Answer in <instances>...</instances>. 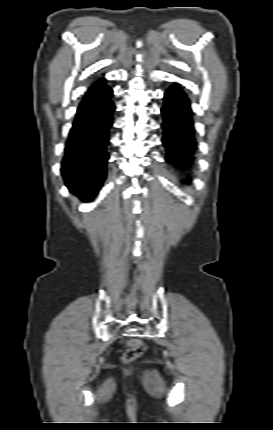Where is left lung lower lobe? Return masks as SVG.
I'll return each mask as SVG.
<instances>
[{
    "label": "left lung lower lobe",
    "mask_w": 273,
    "mask_h": 430,
    "mask_svg": "<svg viewBox=\"0 0 273 430\" xmlns=\"http://www.w3.org/2000/svg\"><path fill=\"white\" fill-rule=\"evenodd\" d=\"M161 109L164 121L162 142L166 147V160L176 170L186 171L193 161L196 149L190 102L184 91L171 86L164 95Z\"/></svg>",
    "instance_id": "0a47b994"
}]
</instances>
